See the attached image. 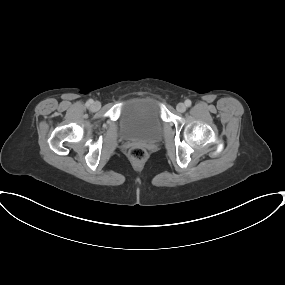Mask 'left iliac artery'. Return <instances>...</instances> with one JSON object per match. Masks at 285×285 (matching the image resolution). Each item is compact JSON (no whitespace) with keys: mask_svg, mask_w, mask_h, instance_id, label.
Masks as SVG:
<instances>
[{"mask_svg":"<svg viewBox=\"0 0 285 285\" xmlns=\"http://www.w3.org/2000/svg\"><path fill=\"white\" fill-rule=\"evenodd\" d=\"M191 104H192L191 100L187 99V100L185 101V105H186L187 107H190Z\"/></svg>","mask_w":285,"mask_h":285,"instance_id":"1","label":"left iliac artery"}]
</instances>
